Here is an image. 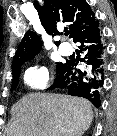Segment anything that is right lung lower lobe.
<instances>
[{
    "label": "right lung lower lobe",
    "mask_w": 117,
    "mask_h": 136,
    "mask_svg": "<svg viewBox=\"0 0 117 136\" xmlns=\"http://www.w3.org/2000/svg\"><path fill=\"white\" fill-rule=\"evenodd\" d=\"M100 33L98 20L82 31L75 42L81 43L79 48L85 53V69L76 68L77 59L67 60L57 71L49 90L63 88L69 95L86 98L95 107H100V91L106 74L105 47Z\"/></svg>",
    "instance_id": "right-lung-lower-lobe-1"
}]
</instances>
